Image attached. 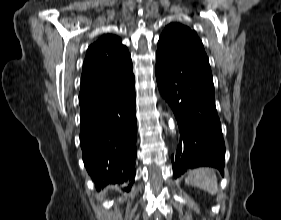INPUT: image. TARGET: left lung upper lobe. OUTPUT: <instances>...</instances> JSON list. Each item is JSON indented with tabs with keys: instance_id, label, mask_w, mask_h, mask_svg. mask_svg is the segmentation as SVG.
Returning a JSON list of instances; mask_svg holds the SVG:
<instances>
[{
	"instance_id": "1",
	"label": "left lung upper lobe",
	"mask_w": 281,
	"mask_h": 220,
	"mask_svg": "<svg viewBox=\"0 0 281 220\" xmlns=\"http://www.w3.org/2000/svg\"><path fill=\"white\" fill-rule=\"evenodd\" d=\"M156 55L180 56L211 72L208 57L196 32L179 23H171L164 29L158 41Z\"/></svg>"
}]
</instances>
